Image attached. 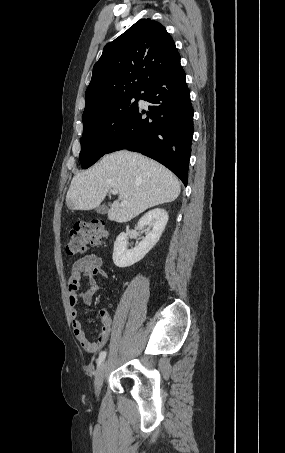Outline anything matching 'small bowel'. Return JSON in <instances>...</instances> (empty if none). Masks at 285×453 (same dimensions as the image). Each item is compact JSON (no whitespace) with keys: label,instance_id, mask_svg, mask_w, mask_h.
<instances>
[{"label":"small bowel","instance_id":"obj_1","mask_svg":"<svg viewBox=\"0 0 285 453\" xmlns=\"http://www.w3.org/2000/svg\"><path fill=\"white\" fill-rule=\"evenodd\" d=\"M86 278L87 289L81 290L80 280ZM97 277L107 279L108 275L102 268V259L96 254H89L76 260L68 279V293L70 313L74 335L82 346L89 353H97L108 342L113 330V320L107 309H101L96 318L101 322L102 329L96 341H91L86 336L82 323L78 318L77 306L79 303L90 306L96 292L103 289L97 281Z\"/></svg>","mask_w":285,"mask_h":453}]
</instances>
